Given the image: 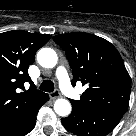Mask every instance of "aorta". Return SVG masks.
Masks as SVG:
<instances>
[{
    "label": "aorta",
    "mask_w": 136,
    "mask_h": 136,
    "mask_svg": "<svg viewBox=\"0 0 136 136\" xmlns=\"http://www.w3.org/2000/svg\"><path fill=\"white\" fill-rule=\"evenodd\" d=\"M37 61L44 68H53L56 66L58 57L51 48H41L37 53ZM71 104L66 99H57L54 103V111L59 116L65 117L71 113Z\"/></svg>",
    "instance_id": "1"
}]
</instances>
